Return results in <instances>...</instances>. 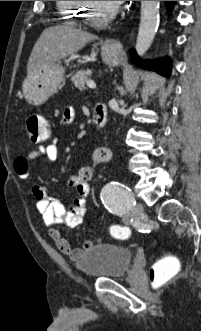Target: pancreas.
<instances>
[{
  "label": "pancreas",
  "mask_w": 201,
  "mask_h": 331,
  "mask_svg": "<svg viewBox=\"0 0 201 331\" xmlns=\"http://www.w3.org/2000/svg\"><path fill=\"white\" fill-rule=\"evenodd\" d=\"M91 73L90 70H80L73 77L72 82L74 83L76 88H84L85 83L88 81V75Z\"/></svg>",
  "instance_id": "obj_1"
}]
</instances>
